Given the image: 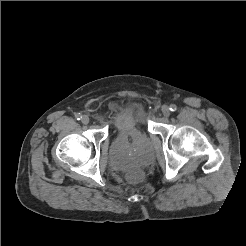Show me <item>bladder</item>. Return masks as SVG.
Returning a JSON list of instances; mask_svg holds the SVG:
<instances>
[{
    "instance_id": "obj_1",
    "label": "bladder",
    "mask_w": 246,
    "mask_h": 246,
    "mask_svg": "<svg viewBox=\"0 0 246 246\" xmlns=\"http://www.w3.org/2000/svg\"><path fill=\"white\" fill-rule=\"evenodd\" d=\"M114 126L118 136H123L136 130H142L144 126L143 117L135 109H127L119 113L115 120ZM152 152L150 150L139 152L131 157H125L118 154L111 155L112 163L120 169H126L130 166H143L150 162Z\"/></svg>"
}]
</instances>
